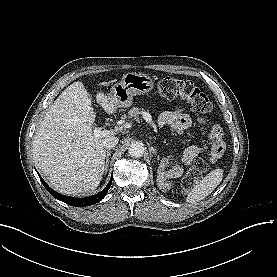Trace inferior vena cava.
I'll return each instance as SVG.
<instances>
[{
	"label": "inferior vena cava",
	"mask_w": 277,
	"mask_h": 277,
	"mask_svg": "<svg viewBox=\"0 0 277 277\" xmlns=\"http://www.w3.org/2000/svg\"><path fill=\"white\" fill-rule=\"evenodd\" d=\"M118 142H119V139L117 137H114V136L108 137L104 141V148L108 150L113 149L114 147H116Z\"/></svg>",
	"instance_id": "602c4592"
}]
</instances>
